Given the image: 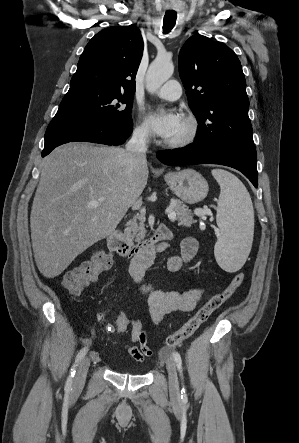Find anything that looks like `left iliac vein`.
Returning <instances> with one entry per match:
<instances>
[{
    "mask_svg": "<svg viewBox=\"0 0 299 443\" xmlns=\"http://www.w3.org/2000/svg\"><path fill=\"white\" fill-rule=\"evenodd\" d=\"M166 368L169 376V390L173 398H179L180 388L178 381V374L175 363L172 358H168L166 361Z\"/></svg>",
    "mask_w": 299,
    "mask_h": 443,
    "instance_id": "obj_1",
    "label": "left iliac vein"
}]
</instances>
